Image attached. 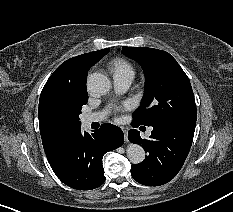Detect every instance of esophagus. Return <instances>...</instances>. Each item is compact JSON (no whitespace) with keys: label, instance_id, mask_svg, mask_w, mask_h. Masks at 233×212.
Returning a JSON list of instances; mask_svg holds the SVG:
<instances>
[{"label":"esophagus","instance_id":"34e87169","mask_svg":"<svg viewBox=\"0 0 233 212\" xmlns=\"http://www.w3.org/2000/svg\"><path fill=\"white\" fill-rule=\"evenodd\" d=\"M123 133L125 141L128 142V132L126 130H123Z\"/></svg>","mask_w":233,"mask_h":212}]
</instances>
